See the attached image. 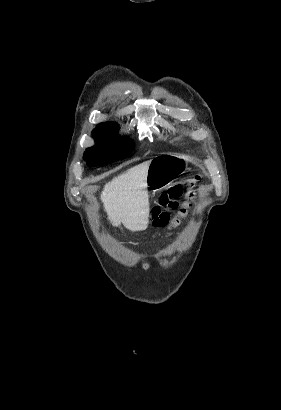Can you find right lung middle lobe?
<instances>
[{
    "label": "right lung middle lobe",
    "mask_w": 281,
    "mask_h": 410,
    "mask_svg": "<svg viewBox=\"0 0 281 410\" xmlns=\"http://www.w3.org/2000/svg\"><path fill=\"white\" fill-rule=\"evenodd\" d=\"M116 124L101 123L93 130L96 146L88 148L84 159L88 166L104 165L124 159L133 150V141L127 137H118Z\"/></svg>",
    "instance_id": "1"
}]
</instances>
